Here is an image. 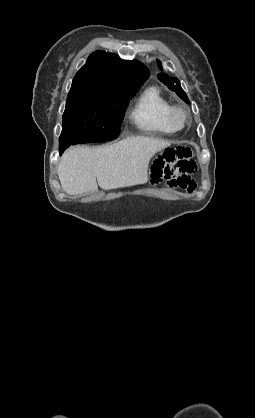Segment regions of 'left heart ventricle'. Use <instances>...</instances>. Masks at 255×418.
Returning <instances> with one entry per match:
<instances>
[{
    "mask_svg": "<svg viewBox=\"0 0 255 418\" xmlns=\"http://www.w3.org/2000/svg\"><path fill=\"white\" fill-rule=\"evenodd\" d=\"M176 121H177L178 124H181L182 123L183 119H182V116L180 114L177 115Z\"/></svg>",
    "mask_w": 255,
    "mask_h": 418,
    "instance_id": "b2bd125f",
    "label": "left heart ventricle"
}]
</instances>
